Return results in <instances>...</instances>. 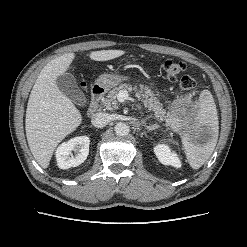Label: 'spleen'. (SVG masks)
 Returning a JSON list of instances; mask_svg holds the SVG:
<instances>
[{"mask_svg":"<svg viewBox=\"0 0 247 247\" xmlns=\"http://www.w3.org/2000/svg\"><path fill=\"white\" fill-rule=\"evenodd\" d=\"M206 128L210 131V137L205 143H197L194 137ZM218 133L219 121L214 99L210 91L203 90L192 131L182 139L186 157L193 169H199L209 159L217 144Z\"/></svg>","mask_w":247,"mask_h":247,"instance_id":"1","label":"spleen"}]
</instances>
